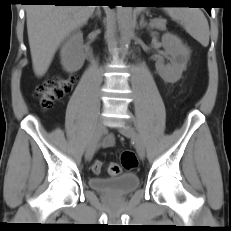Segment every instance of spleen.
<instances>
[{
  "label": "spleen",
  "mask_w": 231,
  "mask_h": 231,
  "mask_svg": "<svg viewBox=\"0 0 231 231\" xmlns=\"http://www.w3.org/2000/svg\"><path fill=\"white\" fill-rule=\"evenodd\" d=\"M164 11L173 19L180 21L184 29L202 46L209 44V25L203 12L198 8L167 7Z\"/></svg>",
  "instance_id": "3e777b00"
}]
</instances>
